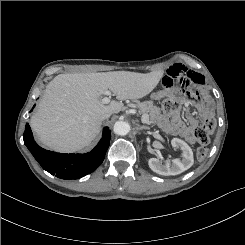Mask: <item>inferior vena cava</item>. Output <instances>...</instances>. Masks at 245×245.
I'll return each mask as SVG.
<instances>
[{
	"instance_id": "inferior-vena-cava-1",
	"label": "inferior vena cava",
	"mask_w": 245,
	"mask_h": 245,
	"mask_svg": "<svg viewBox=\"0 0 245 245\" xmlns=\"http://www.w3.org/2000/svg\"><path fill=\"white\" fill-rule=\"evenodd\" d=\"M110 115H111V114H108V113H107V114H104V115L101 116V119H102V120L107 119V118L110 117Z\"/></svg>"
}]
</instances>
